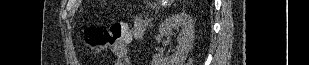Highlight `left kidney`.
<instances>
[{"instance_id":"5707ae66","label":"left kidney","mask_w":309,"mask_h":65,"mask_svg":"<svg viewBox=\"0 0 309 65\" xmlns=\"http://www.w3.org/2000/svg\"><path fill=\"white\" fill-rule=\"evenodd\" d=\"M176 28H181V36L177 38V51L168 59L159 54L154 55L153 65H184L195 40L194 21L189 15L180 13L165 19L159 25L158 35L155 36V39L157 42H161L163 37L171 36Z\"/></svg>"}]
</instances>
